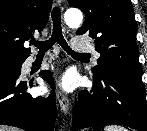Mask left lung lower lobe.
Listing matches in <instances>:
<instances>
[{"label": "left lung lower lobe", "instance_id": "0a47b994", "mask_svg": "<svg viewBox=\"0 0 147 131\" xmlns=\"http://www.w3.org/2000/svg\"><path fill=\"white\" fill-rule=\"evenodd\" d=\"M105 124L147 131L146 92L141 81L109 72L94 76L92 90L81 91L71 131Z\"/></svg>", "mask_w": 147, "mask_h": 131}]
</instances>
